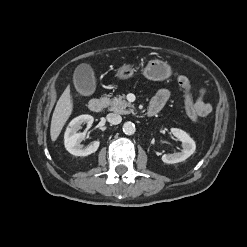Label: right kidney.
I'll list each match as a JSON object with an SVG mask.
<instances>
[{
	"label": "right kidney",
	"mask_w": 247,
	"mask_h": 247,
	"mask_svg": "<svg viewBox=\"0 0 247 247\" xmlns=\"http://www.w3.org/2000/svg\"><path fill=\"white\" fill-rule=\"evenodd\" d=\"M93 121L94 118L91 115H80L69 123L64 135L65 148L69 153L75 156H88L97 151L100 144L99 140L84 148L80 143L84 139L85 133L78 132L82 124L91 127Z\"/></svg>",
	"instance_id": "ca27d5eb"
}]
</instances>
